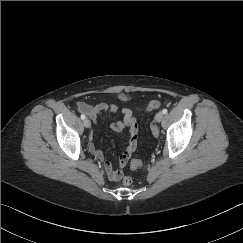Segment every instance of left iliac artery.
Returning <instances> with one entry per match:
<instances>
[{"label": "left iliac artery", "instance_id": "obj_1", "mask_svg": "<svg viewBox=\"0 0 243 243\" xmlns=\"http://www.w3.org/2000/svg\"><path fill=\"white\" fill-rule=\"evenodd\" d=\"M167 112H168V111H167L166 108H164V109L162 110V113H163V114H167Z\"/></svg>", "mask_w": 243, "mask_h": 243}]
</instances>
